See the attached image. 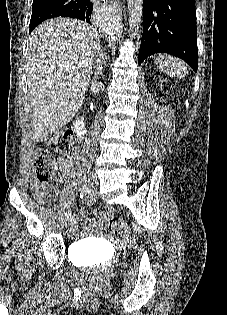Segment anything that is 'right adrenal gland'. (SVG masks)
Masks as SVG:
<instances>
[{"label": "right adrenal gland", "instance_id": "2a0ac1e0", "mask_svg": "<svg viewBox=\"0 0 227 315\" xmlns=\"http://www.w3.org/2000/svg\"><path fill=\"white\" fill-rule=\"evenodd\" d=\"M99 56H100V58L104 61V64L106 65V55H105V53H103V51L100 49V51H99Z\"/></svg>", "mask_w": 227, "mask_h": 315}]
</instances>
